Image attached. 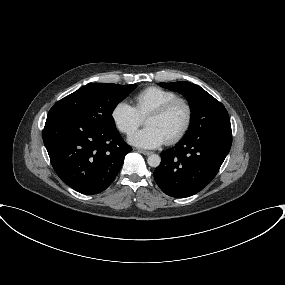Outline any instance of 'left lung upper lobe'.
I'll use <instances>...</instances> for the list:
<instances>
[{
	"label": "left lung upper lobe",
	"mask_w": 285,
	"mask_h": 285,
	"mask_svg": "<svg viewBox=\"0 0 285 285\" xmlns=\"http://www.w3.org/2000/svg\"><path fill=\"white\" fill-rule=\"evenodd\" d=\"M161 87L184 95L191 107V123L184 137L209 131L231 132L227 110L208 92L190 82L159 83Z\"/></svg>",
	"instance_id": "1"
}]
</instances>
